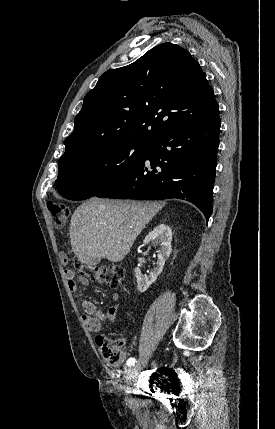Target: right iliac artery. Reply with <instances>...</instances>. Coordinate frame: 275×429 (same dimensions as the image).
<instances>
[{
    "label": "right iliac artery",
    "instance_id": "82829eb1",
    "mask_svg": "<svg viewBox=\"0 0 275 429\" xmlns=\"http://www.w3.org/2000/svg\"><path fill=\"white\" fill-rule=\"evenodd\" d=\"M135 362H136V359H135V358H133V357H131V358H129V359L127 360V365H128V366H133V365L135 364Z\"/></svg>",
    "mask_w": 275,
    "mask_h": 429
}]
</instances>
